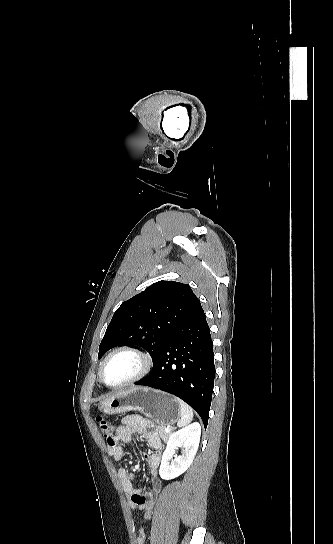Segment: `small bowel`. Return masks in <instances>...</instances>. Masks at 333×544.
Returning a JSON list of instances; mask_svg holds the SVG:
<instances>
[{"label": "small bowel", "instance_id": "obj_1", "mask_svg": "<svg viewBox=\"0 0 333 544\" xmlns=\"http://www.w3.org/2000/svg\"><path fill=\"white\" fill-rule=\"evenodd\" d=\"M133 435H142L147 444L154 450L161 447V440L155 430V424L139 415H129L123 419V425L118 427L115 433L107 440L108 453L115 461L120 462L123 457V447L127 444ZM147 462L150 480V489L143 492L141 488L134 485V474L125 468L118 469V477L121 485L129 498V504L132 508L144 511V518L151 519L153 507L157 495L161 491V480L158 475V468L161 462V454L158 451L144 453ZM146 532L140 528L135 539L136 544H145Z\"/></svg>", "mask_w": 333, "mask_h": 544}]
</instances>
